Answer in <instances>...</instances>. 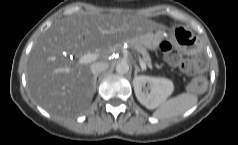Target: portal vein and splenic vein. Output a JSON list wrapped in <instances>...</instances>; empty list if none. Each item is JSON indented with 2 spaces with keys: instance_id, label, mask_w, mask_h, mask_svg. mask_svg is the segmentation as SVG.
<instances>
[{
  "instance_id": "portal-vein-and-splenic-vein-1",
  "label": "portal vein and splenic vein",
  "mask_w": 238,
  "mask_h": 145,
  "mask_svg": "<svg viewBox=\"0 0 238 145\" xmlns=\"http://www.w3.org/2000/svg\"><path fill=\"white\" fill-rule=\"evenodd\" d=\"M99 58L98 54H94V53H87L83 56H81L77 62V64L82 65V64H88L91 63L93 61H95L96 59ZM139 63L140 66L143 70H146V64L144 63V61L139 57Z\"/></svg>"
}]
</instances>
